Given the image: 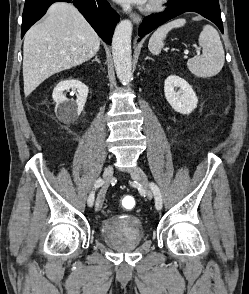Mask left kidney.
Here are the masks:
<instances>
[{"label":"left kidney","instance_id":"left-kidney-1","mask_svg":"<svg viewBox=\"0 0 249 294\" xmlns=\"http://www.w3.org/2000/svg\"><path fill=\"white\" fill-rule=\"evenodd\" d=\"M164 94L171 107L181 114H190L197 107L198 98L193 88L179 76L170 75L166 78Z\"/></svg>","mask_w":249,"mask_h":294}]
</instances>
